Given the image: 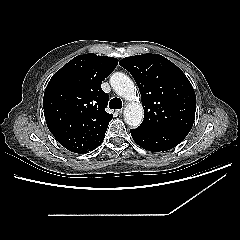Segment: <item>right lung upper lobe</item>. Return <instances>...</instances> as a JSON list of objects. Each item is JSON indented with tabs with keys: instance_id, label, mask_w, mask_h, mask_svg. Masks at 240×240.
<instances>
[{
	"instance_id": "right-lung-upper-lobe-1",
	"label": "right lung upper lobe",
	"mask_w": 240,
	"mask_h": 240,
	"mask_svg": "<svg viewBox=\"0 0 240 240\" xmlns=\"http://www.w3.org/2000/svg\"><path fill=\"white\" fill-rule=\"evenodd\" d=\"M117 64L113 57L79 55L50 79L44 116L50 132L69 151L83 154L102 143L113 115L105 111L109 96L101 83Z\"/></svg>"
}]
</instances>
